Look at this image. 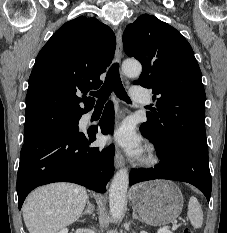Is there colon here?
Instances as JSON below:
<instances>
[{
	"mask_svg": "<svg viewBox=\"0 0 227 233\" xmlns=\"http://www.w3.org/2000/svg\"><path fill=\"white\" fill-rule=\"evenodd\" d=\"M183 233H193V231L192 230H190V229H186V230H184V232Z\"/></svg>",
	"mask_w": 227,
	"mask_h": 233,
	"instance_id": "1",
	"label": "colon"
}]
</instances>
